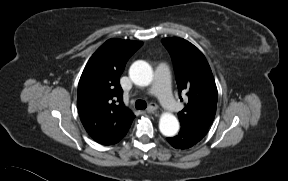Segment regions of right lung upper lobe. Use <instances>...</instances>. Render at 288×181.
Segmentation results:
<instances>
[{
	"instance_id": "obj_1",
	"label": "right lung upper lobe",
	"mask_w": 288,
	"mask_h": 181,
	"mask_svg": "<svg viewBox=\"0 0 288 181\" xmlns=\"http://www.w3.org/2000/svg\"><path fill=\"white\" fill-rule=\"evenodd\" d=\"M142 42L109 39L89 59L78 85L81 122L98 143L111 145L128 132L134 114L122 101L120 75Z\"/></svg>"
}]
</instances>
